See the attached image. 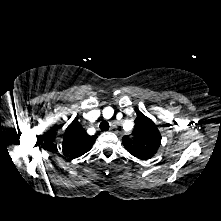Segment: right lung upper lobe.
I'll use <instances>...</instances> for the list:
<instances>
[{
    "instance_id": "1",
    "label": "right lung upper lobe",
    "mask_w": 221,
    "mask_h": 221,
    "mask_svg": "<svg viewBox=\"0 0 221 221\" xmlns=\"http://www.w3.org/2000/svg\"><path fill=\"white\" fill-rule=\"evenodd\" d=\"M97 136H89L79 122L74 119L67 127L63 138L64 153L71 158H77L88 152Z\"/></svg>"
}]
</instances>
